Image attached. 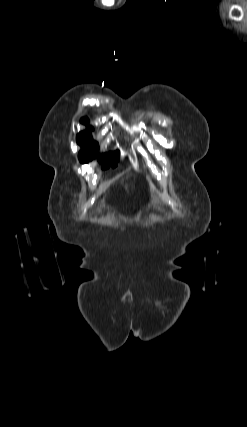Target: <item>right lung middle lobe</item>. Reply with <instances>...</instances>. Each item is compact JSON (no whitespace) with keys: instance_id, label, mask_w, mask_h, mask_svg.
<instances>
[{"instance_id":"obj_1","label":"right lung middle lobe","mask_w":247,"mask_h":427,"mask_svg":"<svg viewBox=\"0 0 247 427\" xmlns=\"http://www.w3.org/2000/svg\"><path fill=\"white\" fill-rule=\"evenodd\" d=\"M77 143L82 147V150L79 152V160L82 163H88L91 161L98 149L97 142L93 141L89 131L81 132L77 135ZM119 151L111 154H104L99 157V161L103 165V169H107L110 166L113 168L117 166L119 161Z\"/></svg>"}]
</instances>
